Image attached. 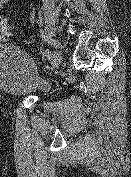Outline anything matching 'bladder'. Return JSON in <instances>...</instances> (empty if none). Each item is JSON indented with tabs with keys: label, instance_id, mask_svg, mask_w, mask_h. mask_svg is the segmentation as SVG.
<instances>
[{
	"label": "bladder",
	"instance_id": "bladder-1",
	"mask_svg": "<svg viewBox=\"0 0 131 177\" xmlns=\"http://www.w3.org/2000/svg\"><path fill=\"white\" fill-rule=\"evenodd\" d=\"M0 88L11 95L32 93L38 96L50 90V84L42 79L31 58L21 49L6 45L0 51Z\"/></svg>",
	"mask_w": 131,
	"mask_h": 177
}]
</instances>
